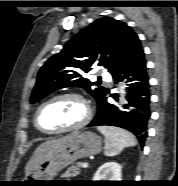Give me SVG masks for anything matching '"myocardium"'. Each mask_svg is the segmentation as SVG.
<instances>
[{
	"instance_id": "1",
	"label": "myocardium",
	"mask_w": 178,
	"mask_h": 186,
	"mask_svg": "<svg viewBox=\"0 0 178 186\" xmlns=\"http://www.w3.org/2000/svg\"><path fill=\"white\" fill-rule=\"evenodd\" d=\"M62 98H75L77 100L80 101V103L83 105L84 107V116L83 118L75 125L64 128V129H60V130H53V131H48L45 130L41 124H40V114L43 110V108L48 105L49 103L58 100V99H62ZM92 116V109L90 104L88 103V101L84 98V96H82L79 93L76 92H65V93H61V94H57L49 99H47L46 101H44L41 105H39V107L37 108L36 112H35V116H34V123L36 128L42 132L43 134L46 135H57V134H63V133H68V132H74V131H78L80 129H82L83 127H85Z\"/></svg>"
}]
</instances>
